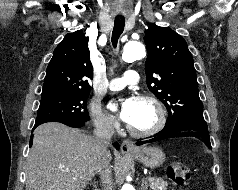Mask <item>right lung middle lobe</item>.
Masks as SVG:
<instances>
[{
  "label": "right lung middle lobe",
  "mask_w": 238,
  "mask_h": 190,
  "mask_svg": "<svg viewBox=\"0 0 238 190\" xmlns=\"http://www.w3.org/2000/svg\"><path fill=\"white\" fill-rule=\"evenodd\" d=\"M88 93L58 94L41 98L35 124L89 120Z\"/></svg>",
  "instance_id": "right-lung-middle-lobe-1"
}]
</instances>
